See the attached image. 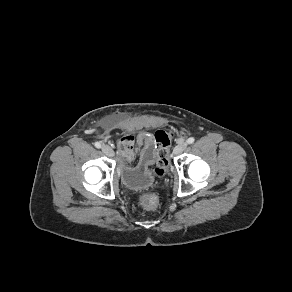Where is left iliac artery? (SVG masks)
I'll return each mask as SVG.
<instances>
[{
    "label": "left iliac artery",
    "instance_id": "44dca946",
    "mask_svg": "<svg viewBox=\"0 0 292 292\" xmlns=\"http://www.w3.org/2000/svg\"><path fill=\"white\" fill-rule=\"evenodd\" d=\"M195 139L193 137H190L188 140H187V143L188 144H192L194 143Z\"/></svg>",
    "mask_w": 292,
    "mask_h": 292
}]
</instances>
